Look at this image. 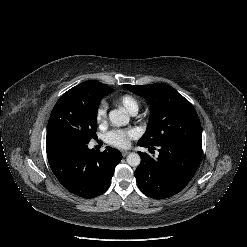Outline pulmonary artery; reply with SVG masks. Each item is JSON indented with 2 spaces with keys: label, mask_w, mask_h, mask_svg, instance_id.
Segmentation results:
<instances>
[{
  "label": "pulmonary artery",
  "mask_w": 247,
  "mask_h": 247,
  "mask_svg": "<svg viewBox=\"0 0 247 247\" xmlns=\"http://www.w3.org/2000/svg\"><path fill=\"white\" fill-rule=\"evenodd\" d=\"M136 113H137V110L131 111V114H132V115H135Z\"/></svg>",
  "instance_id": "obj_1"
}]
</instances>
